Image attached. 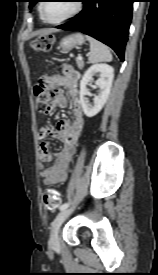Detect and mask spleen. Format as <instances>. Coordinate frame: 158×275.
<instances>
[{
  "label": "spleen",
  "instance_id": "3e777b00",
  "mask_svg": "<svg viewBox=\"0 0 158 275\" xmlns=\"http://www.w3.org/2000/svg\"><path fill=\"white\" fill-rule=\"evenodd\" d=\"M86 38L90 43V63H98L102 61L109 62L112 60V54L106 45L90 36H86Z\"/></svg>",
  "mask_w": 158,
  "mask_h": 275
}]
</instances>
